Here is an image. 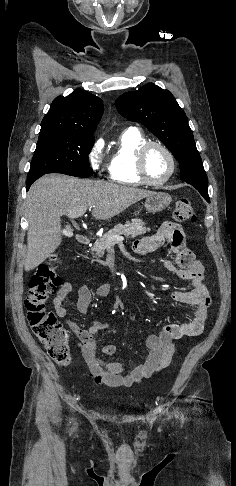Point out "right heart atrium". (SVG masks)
<instances>
[{
  "instance_id": "1",
  "label": "right heart atrium",
  "mask_w": 236,
  "mask_h": 486,
  "mask_svg": "<svg viewBox=\"0 0 236 486\" xmlns=\"http://www.w3.org/2000/svg\"><path fill=\"white\" fill-rule=\"evenodd\" d=\"M103 147L104 141L97 139L92 144L88 153L89 163L96 172H101L103 168Z\"/></svg>"
}]
</instances>
